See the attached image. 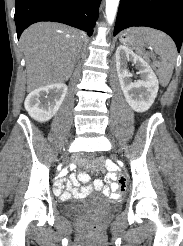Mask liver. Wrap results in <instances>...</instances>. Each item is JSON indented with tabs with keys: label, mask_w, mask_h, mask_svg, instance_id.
Wrapping results in <instances>:
<instances>
[{
	"label": "liver",
	"mask_w": 183,
	"mask_h": 246,
	"mask_svg": "<svg viewBox=\"0 0 183 246\" xmlns=\"http://www.w3.org/2000/svg\"><path fill=\"white\" fill-rule=\"evenodd\" d=\"M83 40L82 31L58 23H37L26 29L20 42L26 60L27 91L67 81Z\"/></svg>",
	"instance_id": "6515ba94"
}]
</instances>
